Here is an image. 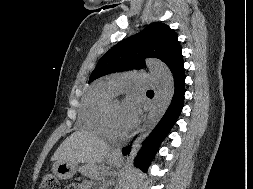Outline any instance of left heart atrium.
Masks as SVG:
<instances>
[{
    "mask_svg": "<svg viewBox=\"0 0 253 189\" xmlns=\"http://www.w3.org/2000/svg\"><path fill=\"white\" fill-rule=\"evenodd\" d=\"M140 115V104L135 96L128 98L124 105V119L129 128L133 127Z\"/></svg>",
    "mask_w": 253,
    "mask_h": 189,
    "instance_id": "obj_1",
    "label": "left heart atrium"
}]
</instances>
